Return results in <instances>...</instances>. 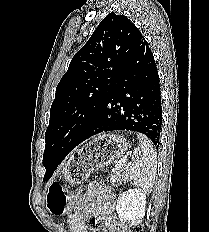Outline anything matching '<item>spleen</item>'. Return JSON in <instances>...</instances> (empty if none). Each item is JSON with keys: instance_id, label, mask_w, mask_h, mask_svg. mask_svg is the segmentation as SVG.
Returning <instances> with one entry per match:
<instances>
[{"instance_id": "obj_1", "label": "spleen", "mask_w": 209, "mask_h": 232, "mask_svg": "<svg viewBox=\"0 0 209 232\" xmlns=\"http://www.w3.org/2000/svg\"><path fill=\"white\" fill-rule=\"evenodd\" d=\"M139 146L134 149V158L126 166V175L135 186L151 191L157 169V155L151 141L138 134Z\"/></svg>"}]
</instances>
